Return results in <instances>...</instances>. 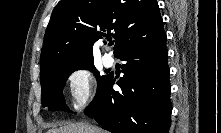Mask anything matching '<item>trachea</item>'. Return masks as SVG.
Returning <instances> with one entry per match:
<instances>
[{
  "mask_svg": "<svg viewBox=\"0 0 221 133\" xmlns=\"http://www.w3.org/2000/svg\"><path fill=\"white\" fill-rule=\"evenodd\" d=\"M112 44H113V42L110 41V42H109V45H112Z\"/></svg>",
  "mask_w": 221,
  "mask_h": 133,
  "instance_id": "trachea-1",
  "label": "trachea"
}]
</instances>
